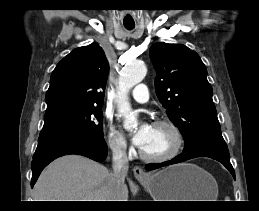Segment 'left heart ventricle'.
<instances>
[{
	"label": "left heart ventricle",
	"mask_w": 259,
	"mask_h": 211,
	"mask_svg": "<svg viewBox=\"0 0 259 211\" xmlns=\"http://www.w3.org/2000/svg\"><path fill=\"white\" fill-rule=\"evenodd\" d=\"M172 146V135L164 127L151 126L150 134L141 149L150 155H160Z\"/></svg>",
	"instance_id": "left-heart-ventricle-1"
}]
</instances>
